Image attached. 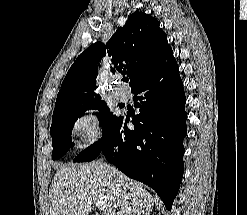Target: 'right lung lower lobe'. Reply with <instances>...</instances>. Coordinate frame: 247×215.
Listing matches in <instances>:
<instances>
[{
  "instance_id": "obj_1",
  "label": "right lung lower lobe",
  "mask_w": 247,
  "mask_h": 215,
  "mask_svg": "<svg viewBox=\"0 0 247 215\" xmlns=\"http://www.w3.org/2000/svg\"><path fill=\"white\" fill-rule=\"evenodd\" d=\"M140 114L134 129L119 117L102 138L81 152L74 162H89L103 154L128 177L156 191L171 210L184 172L183 139L187 134L186 98L172 49L131 89Z\"/></svg>"
}]
</instances>
